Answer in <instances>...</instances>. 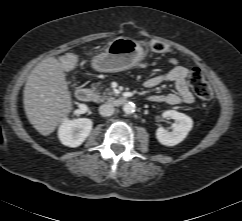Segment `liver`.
<instances>
[{
	"label": "liver",
	"mask_w": 242,
	"mask_h": 221,
	"mask_svg": "<svg viewBox=\"0 0 242 221\" xmlns=\"http://www.w3.org/2000/svg\"><path fill=\"white\" fill-rule=\"evenodd\" d=\"M23 94L26 116L43 136L50 135L73 108L63 67L55 57L36 65Z\"/></svg>",
	"instance_id": "liver-1"
}]
</instances>
